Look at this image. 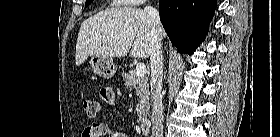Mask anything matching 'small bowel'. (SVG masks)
Returning a JSON list of instances; mask_svg holds the SVG:
<instances>
[{"instance_id": "small-bowel-1", "label": "small bowel", "mask_w": 280, "mask_h": 137, "mask_svg": "<svg viewBox=\"0 0 280 137\" xmlns=\"http://www.w3.org/2000/svg\"><path fill=\"white\" fill-rule=\"evenodd\" d=\"M104 90L114 92L112 88L108 87ZM110 105L114 104V101L107 102ZM93 133H99L103 137H125L124 134L112 131L106 124L97 122L93 123L84 129L82 137H90Z\"/></svg>"}]
</instances>
